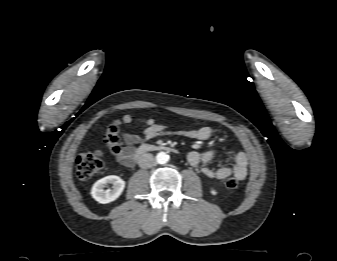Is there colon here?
I'll use <instances>...</instances> for the list:
<instances>
[{"mask_svg": "<svg viewBox=\"0 0 337 261\" xmlns=\"http://www.w3.org/2000/svg\"><path fill=\"white\" fill-rule=\"evenodd\" d=\"M104 140L107 148L113 154H119L121 151L119 137V123H111L105 131ZM104 167L102 155L97 151H83L76 160V174L79 179L87 180L98 174ZM239 183L235 177H229L225 180V186L228 189H236Z\"/></svg>", "mask_w": 337, "mask_h": 261, "instance_id": "obj_1", "label": "colon"}]
</instances>
